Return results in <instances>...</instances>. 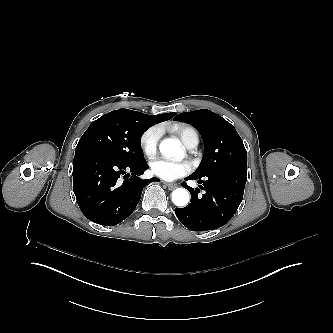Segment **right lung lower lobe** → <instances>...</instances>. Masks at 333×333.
I'll return each mask as SVG.
<instances>
[{
	"mask_svg": "<svg viewBox=\"0 0 333 333\" xmlns=\"http://www.w3.org/2000/svg\"><path fill=\"white\" fill-rule=\"evenodd\" d=\"M147 168L146 161L128 164L97 149L76 148L73 190L82 213L100 225L122 222L136 208L144 186L160 181L138 178Z\"/></svg>",
	"mask_w": 333,
	"mask_h": 333,
	"instance_id": "1",
	"label": "right lung lower lobe"
}]
</instances>
